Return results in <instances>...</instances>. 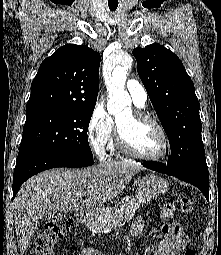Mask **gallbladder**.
I'll return each instance as SVG.
<instances>
[{"instance_id": "gallbladder-1", "label": "gallbladder", "mask_w": 221, "mask_h": 255, "mask_svg": "<svg viewBox=\"0 0 221 255\" xmlns=\"http://www.w3.org/2000/svg\"><path fill=\"white\" fill-rule=\"evenodd\" d=\"M55 212H56L55 210H47L45 214L41 217V220L42 221L50 220L54 216Z\"/></svg>"}]
</instances>
